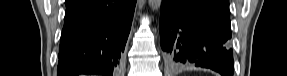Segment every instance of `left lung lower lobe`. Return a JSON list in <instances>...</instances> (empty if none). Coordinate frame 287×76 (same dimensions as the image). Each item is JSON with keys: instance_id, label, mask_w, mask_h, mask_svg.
Here are the masks:
<instances>
[{"instance_id": "left-lung-lower-lobe-1", "label": "left lung lower lobe", "mask_w": 287, "mask_h": 76, "mask_svg": "<svg viewBox=\"0 0 287 76\" xmlns=\"http://www.w3.org/2000/svg\"><path fill=\"white\" fill-rule=\"evenodd\" d=\"M229 12L209 0H162L161 48L170 63H194L233 76Z\"/></svg>"}]
</instances>
